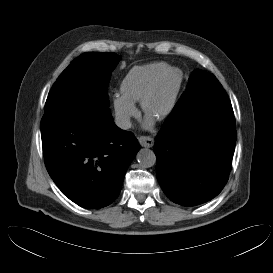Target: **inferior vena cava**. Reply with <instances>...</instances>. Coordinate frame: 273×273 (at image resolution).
<instances>
[{"mask_svg": "<svg viewBox=\"0 0 273 273\" xmlns=\"http://www.w3.org/2000/svg\"><path fill=\"white\" fill-rule=\"evenodd\" d=\"M115 124L123 130H127V129L131 128V126H132V123L130 121V117H128L126 115H117L115 117Z\"/></svg>", "mask_w": 273, "mask_h": 273, "instance_id": "1", "label": "inferior vena cava"}]
</instances>
